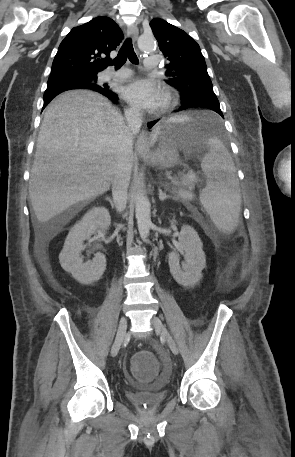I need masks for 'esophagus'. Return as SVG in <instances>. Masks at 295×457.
Wrapping results in <instances>:
<instances>
[{"label": "esophagus", "mask_w": 295, "mask_h": 457, "mask_svg": "<svg viewBox=\"0 0 295 457\" xmlns=\"http://www.w3.org/2000/svg\"><path fill=\"white\" fill-rule=\"evenodd\" d=\"M139 30L136 25H131L127 29L128 37H131L133 41H136L138 38ZM137 150L142 153H146L149 151L148 146V135L145 131H142L137 139L136 143Z\"/></svg>", "instance_id": "esophagus-1"}]
</instances>
